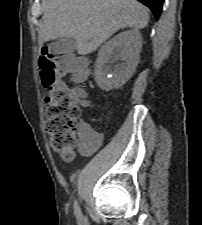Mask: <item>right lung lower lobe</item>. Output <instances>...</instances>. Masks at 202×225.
Masks as SVG:
<instances>
[{"mask_svg":"<svg viewBox=\"0 0 202 225\" xmlns=\"http://www.w3.org/2000/svg\"><path fill=\"white\" fill-rule=\"evenodd\" d=\"M138 1L146 5L148 8H150V10L155 16V19L158 20L161 14L164 0H138Z\"/></svg>","mask_w":202,"mask_h":225,"instance_id":"obj_1","label":"right lung lower lobe"}]
</instances>
